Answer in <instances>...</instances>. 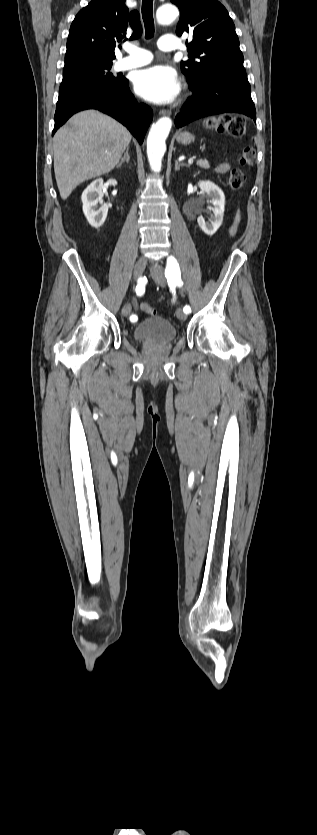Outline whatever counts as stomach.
<instances>
[{
  "label": "stomach",
  "mask_w": 317,
  "mask_h": 835,
  "mask_svg": "<svg viewBox=\"0 0 317 835\" xmlns=\"http://www.w3.org/2000/svg\"><path fill=\"white\" fill-rule=\"evenodd\" d=\"M177 142L182 145H189L194 142V136L190 132L182 131L176 135Z\"/></svg>",
  "instance_id": "1"
}]
</instances>
